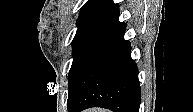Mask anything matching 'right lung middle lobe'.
<instances>
[{"mask_svg":"<svg viewBox=\"0 0 193 112\" xmlns=\"http://www.w3.org/2000/svg\"><path fill=\"white\" fill-rule=\"evenodd\" d=\"M99 29H79L73 40V63L69 72L68 91L72 90L88 62L116 35Z\"/></svg>","mask_w":193,"mask_h":112,"instance_id":"1","label":"right lung middle lobe"}]
</instances>
